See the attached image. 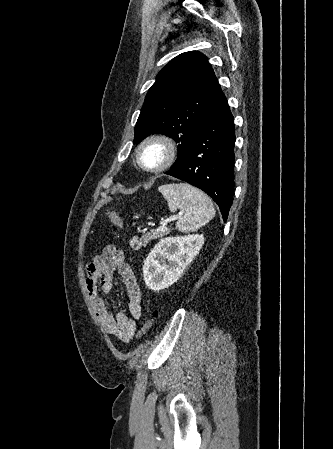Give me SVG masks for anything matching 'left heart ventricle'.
Instances as JSON below:
<instances>
[{"mask_svg": "<svg viewBox=\"0 0 333 449\" xmlns=\"http://www.w3.org/2000/svg\"><path fill=\"white\" fill-rule=\"evenodd\" d=\"M162 156V151L158 147L152 146L144 150L142 160L146 165L153 167L161 162Z\"/></svg>", "mask_w": 333, "mask_h": 449, "instance_id": "1", "label": "left heart ventricle"}]
</instances>
